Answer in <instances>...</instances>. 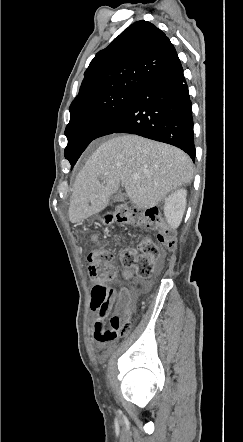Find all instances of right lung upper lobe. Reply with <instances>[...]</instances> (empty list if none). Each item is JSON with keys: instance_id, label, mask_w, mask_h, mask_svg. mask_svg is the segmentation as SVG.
<instances>
[{"instance_id": "right-lung-upper-lobe-1", "label": "right lung upper lobe", "mask_w": 243, "mask_h": 442, "mask_svg": "<svg viewBox=\"0 0 243 442\" xmlns=\"http://www.w3.org/2000/svg\"><path fill=\"white\" fill-rule=\"evenodd\" d=\"M176 56L164 32L150 22L137 21L96 54L70 110L116 91H136Z\"/></svg>"}]
</instances>
